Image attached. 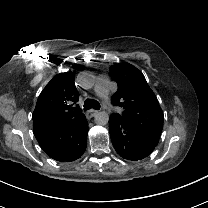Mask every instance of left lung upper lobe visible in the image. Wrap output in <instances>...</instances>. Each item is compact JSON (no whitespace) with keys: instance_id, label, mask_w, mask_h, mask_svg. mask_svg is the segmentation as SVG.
Instances as JSON below:
<instances>
[{"instance_id":"1","label":"left lung upper lobe","mask_w":208,"mask_h":208,"mask_svg":"<svg viewBox=\"0 0 208 208\" xmlns=\"http://www.w3.org/2000/svg\"><path fill=\"white\" fill-rule=\"evenodd\" d=\"M110 72L118 84L111 102L123 108L116 115L157 146L164 115L143 73L129 63L112 65Z\"/></svg>"}]
</instances>
